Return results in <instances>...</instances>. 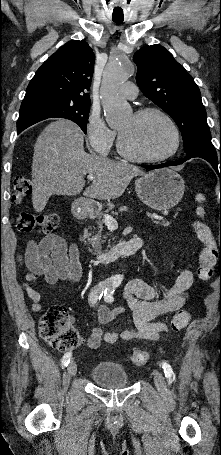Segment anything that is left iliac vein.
<instances>
[{"instance_id":"obj_1","label":"left iliac vein","mask_w":221,"mask_h":455,"mask_svg":"<svg viewBox=\"0 0 221 455\" xmlns=\"http://www.w3.org/2000/svg\"><path fill=\"white\" fill-rule=\"evenodd\" d=\"M154 381L157 390L160 393H166L167 386L163 374L159 370H154Z\"/></svg>"}]
</instances>
